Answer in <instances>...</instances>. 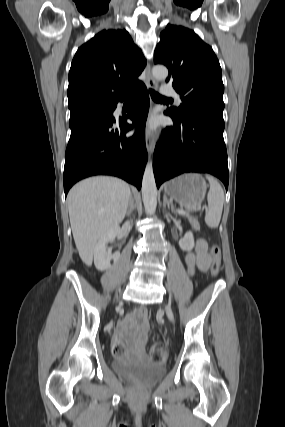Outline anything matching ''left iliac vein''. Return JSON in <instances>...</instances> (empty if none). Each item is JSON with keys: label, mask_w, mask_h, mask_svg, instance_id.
<instances>
[{"label": "left iliac vein", "mask_w": 285, "mask_h": 427, "mask_svg": "<svg viewBox=\"0 0 285 427\" xmlns=\"http://www.w3.org/2000/svg\"><path fill=\"white\" fill-rule=\"evenodd\" d=\"M165 310H166V313H167L168 318H169L171 321H173V320H174V317H173V313H172L171 308H170L169 306H166V307H165Z\"/></svg>", "instance_id": "left-iliac-vein-1"}]
</instances>
